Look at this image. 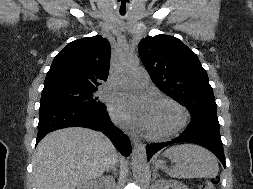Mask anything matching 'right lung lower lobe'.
<instances>
[{
    "mask_svg": "<svg viewBox=\"0 0 253 189\" xmlns=\"http://www.w3.org/2000/svg\"><path fill=\"white\" fill-rule=\"evenodd\" d=\"M39 113L36 144L53 130L78 126L100 130L111 139L122 155L129 156L131 153L129 138L115 127L105 110L67 104H46L40 105Z\"/></svg>",
    "mask_w": 253,
    "mask_h": 189,
    "instance_id": "right-lung-lower-lobe-1",
    "label": "right lung lower lobe"
}]
</instances>
